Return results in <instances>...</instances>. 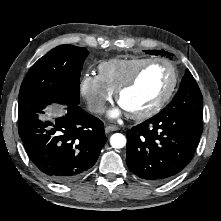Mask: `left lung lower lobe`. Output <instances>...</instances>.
I'll return each mask as SVG.
<instances>
[{
	"label": "left lung lower lobe",
	"mask_w": 221,
	"mask_h": 221,
	"mask_svg": "<svg viewBox=\"0 0 221 221\" xmlns=\"http://www.w3.org/2000/svg\"><path fill=\"white\" fill-rule=\"evenodd\" d=\"M202 131V121L164 108L126 132L127 166L143 180L167 181L191 161Z\"/></svg>",
	"instance_id": "obj_1"
}]
</instances>
